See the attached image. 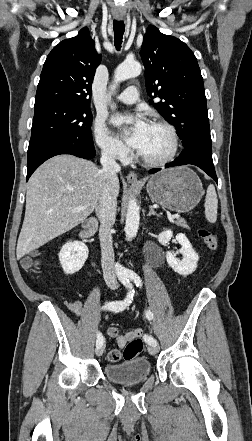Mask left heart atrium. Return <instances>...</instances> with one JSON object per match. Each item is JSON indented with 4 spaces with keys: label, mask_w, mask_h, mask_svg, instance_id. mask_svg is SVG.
Returning a JSON list of instances; mask_svg holds the SVG:
<instances>
[{
    "label": "left heart atrium",
    "mask_w": 252,
    "mask_h": 441,
    "mask_svg": "<svg viewBox=\"0 0 252 441\" xmlns=\"http://www.w3.org/2000/svg\"><path fill=\"white\" fill-rule=\"evenodd\" d=\"M112 123L119 128L130 124L129 131L124 136L125 140L132 148L140 152L143 148L150 124L138 114L115 115L112 118Z\"/></svg>",
    "instance_id": "obj_1"
}]
</instances>
